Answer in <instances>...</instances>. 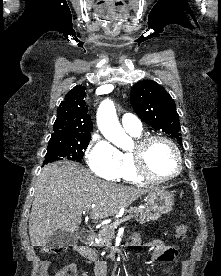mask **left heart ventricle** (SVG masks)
Returning <instances> with one entry per match:
<instances>
[{
	"mask_svg": "<svg viewBox=\"0 0 221 276\" xmlns=\"http://www.w3.org/2000/svg\"><path fill=\"white\" fill-rule=\"evenodd\" d=\"M149 170L156 176H169L177 170V159L173 149L164 141H155L146 151Z\"/></svg>",
	"mask_w": 221,
	"mask_h": 276,
	"instance_id": "b2bd125f",
	"label": "left heart ventricle"
}]
</instances>
